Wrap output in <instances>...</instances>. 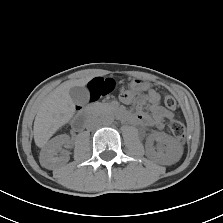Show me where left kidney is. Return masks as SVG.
<instances>
[{
	"label": "left kidney",
	"instance_id": "obj_1",
	"mask_svg": "<svg viewBox=\"0 0 223 223\" xmlns=\"http://www.w3.org/2000/svg\"><path fill=\"white\" fill-rule=\"evenodd\" d=\"M153 141L158 143L156 150ZM182 151L181 145L165 133H154L148 139L147 156L156 162L165 165L173 164L180 159Z\"/></svg>",
	"mask_w": 223,
	"mask_h": 223
}]
</instances>
